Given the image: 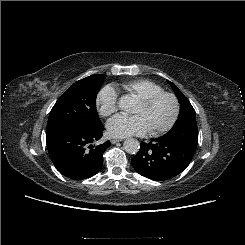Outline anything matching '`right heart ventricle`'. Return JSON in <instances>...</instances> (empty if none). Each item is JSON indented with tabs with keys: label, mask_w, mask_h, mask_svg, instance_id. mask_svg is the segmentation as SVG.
Listing matches in <instances>:
<instances>
[{
	"label": "right heart ventricle",
	"mask_w": 245,
	"mask_h": 245,
	"mask_svg": "<svg viewBox=\"0 0 245 245\" xmlns=\"http://www.w3.org/2000/svg\"><path fill=\"white\" fill-rule=\"evenodd\" d=\"M121 87L127 95L134 96L137 99L164 91L161 85L145 78L125 82Z\"/></svg>",
	"instance_id": "e07e8e85"
}]
</instances>
